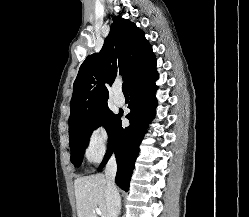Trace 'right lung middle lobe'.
<instances>
[{"label":"right lung middle lobe","instance_id":"dd1d6c3e","mask_svg":"<svg viewBox=\"0 0 249 217\" xmlns=\"http://www.w3.org/2000/svg\"><path fill=\"white\" fill-rule=\"evenodd\" d=\"M118 115L113 114L107 103L86 111L69 120L71 162L80 166L85 148L94 129L103 125L109 134Z\"/></svg>","mask_w":249,"mask_h":217}]
</instances>
